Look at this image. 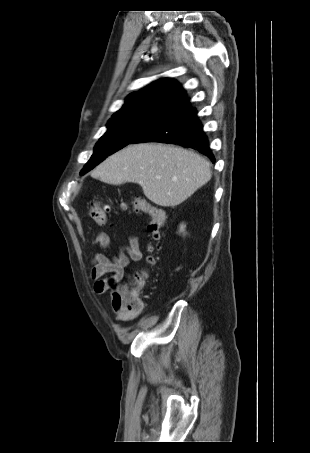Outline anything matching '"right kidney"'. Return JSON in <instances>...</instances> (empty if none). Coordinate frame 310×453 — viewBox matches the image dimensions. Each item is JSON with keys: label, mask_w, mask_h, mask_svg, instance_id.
I'll use <instances>...</instances> for the list:
<instances>
[{"label": "right kidney", "mask_w": 310, "mask_h": 453, "mask_svg": "<svg viewBox=\"0 0 310 453\" xmlns=\"http://www.w3.org/2000/svg\"><path fill=\"white\" fill-rule=\"evenodd\" d=\"M184 228H185V226H184V225H181V226H180V231H184Z\"/></svg>", "instance_id": "1"}]
</instances>
